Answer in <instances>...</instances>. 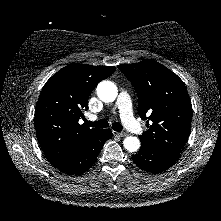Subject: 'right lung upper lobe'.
<instances>
[{
  "label": "right lung upper lobe",
  "instance_id": "cb5924a9",
  "mask_svg": "<svg viewBox=\"0 0 221 221\" xmlns=\"http://www.w3.org/2000/svg\"><path fill=\"white\" fill-rule=\"evenodd\" d=\"M115 67L71 64L56 72L44 85L35 110L37 140L56 168L100 129L79 124L82 111L96 85L115 72Z\"/></svg>",
  "mask_w": 221,
  "mask_h": 221
}]
</instances>
